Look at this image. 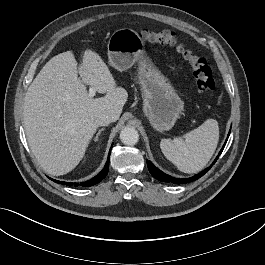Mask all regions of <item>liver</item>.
<instances>
[{"mask_svg": "<svg viewBox=\"0 0 265 265\" xmlns=\"http://www.w3.org/2000/svg\"><path fill=\"white\" fill-rule=\"evenodd\" d=\"M86 85L106 95L90 98ZM127 97L95 51L84 52L80 68L72 51L51 58L27 89L23 107L27 141L43 170L54 176L72 171L96 133L95 117L107 112L117 121Z\"/></svg>", "mask_w": 265, "mask_h": 265, "instance_id": "6515ba94", "label": "liver"}]
</instances>
